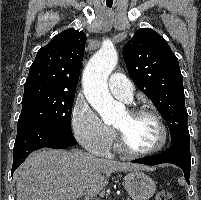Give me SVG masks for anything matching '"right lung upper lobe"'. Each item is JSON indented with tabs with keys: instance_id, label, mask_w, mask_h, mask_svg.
I'll return each instance as SVG.
<instances>
[{
	"instance_id": "1",
	"label": "right lung upper lobe",
	"mask_w": 201,
	"mask_h": 200,
	"mask_svg": "<svg viewBox=\"0 0 201 200\" xmlns=\"http://www.w3.org/2000/svg\"><path fill=\"white\" fill-rule=\"evenodd\" d=\"M85 42V33L72 28L53 37L38 51L30 67L24 93L55 91L75 94Z\"/></svg>"
}]
</instances>
